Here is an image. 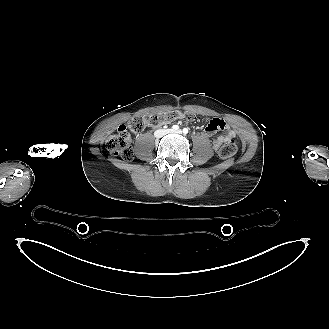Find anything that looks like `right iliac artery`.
I'll return each mask as SVG.
<instances>
[{"label": "right iliac artery", "instance_id": "right-iliac-artery-1", "mask_svg": "<svg viewBox=\"0 0 329 329\" xmlns=\"http://www.w3.org/2000/svg\"><path fill=\"white\" fill-rule=\"evenodd\" d=\"M172 128H173L174 130H178V129H179V126H178V125H173Z\"/></svg>", "mask_w": 329, "mask_h": 329}]
</instances>
